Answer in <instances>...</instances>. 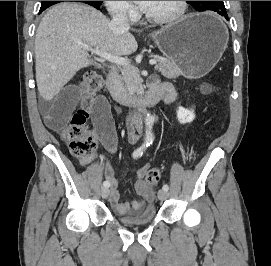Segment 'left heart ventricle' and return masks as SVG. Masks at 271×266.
<instances>
[{
  "mask_svg": "<svg viewBox=\"0 0 271 266\" xmlns=\"http://www.w3.org/2000/svg\"><path fill=\"white\" fill-rule=\"evenodd\" d=\"M178 1H152L148 14L155 16H164L173 13L177 9Z\"/></svg>",
  "mask_w": 271,
  "mask_h": 266,
  "instance_id": "left-heart-ventricle-1",
  "label": "left heart ventricle"
}]
</instances>
